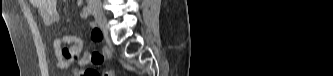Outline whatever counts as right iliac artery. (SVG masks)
I'll return each mask as SVG.
<instances>
[{
	"mask_svg": "<svg viewBox=\"0 0 333 76\" xmlns=\"http://www.w3.org/2000/svg\"><path fill=\"white\" fill-rule=\"evenodd\" d=\"M84 11L86 12L87 15H91L92 14V10L89 6L84 8Z\"/></svg>",
	"mask_w": 333,
	"mask_h": 76,
	"instance_id": "1",
	"label": "right iliac artery"
}]
</instances>
